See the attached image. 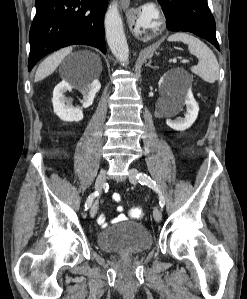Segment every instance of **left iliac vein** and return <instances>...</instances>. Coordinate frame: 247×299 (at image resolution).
Segmentation results:
<instances>
[{
	"mask_svg": "<svg viewBox=\"0 0 247 299\" xmlns=\"http://www.w3.org/2000/svg\"><path fill=\"white\" fill-rule=\"evenodd\" d=\"M137 174H138L137 169H135V168L129 169V181L134 185L137 184V182H138ZM153 217H154L155 221H157V222H160L162 220V212L158 207L154 208Z\"/></svg>",
	"mask_w": 247,
	"mask_h": 299,
	"instance_id": "4c4485c4",
	"label": "left iliac vein"
}]
</instances>
